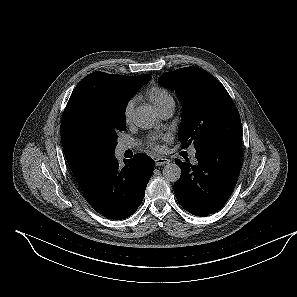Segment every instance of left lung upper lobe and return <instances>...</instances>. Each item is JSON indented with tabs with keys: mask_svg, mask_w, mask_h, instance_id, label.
<instances>
[{
	"mask_svg": "<svg viewBox=\"0 0 297 297\" xmlns=\"http://www.w3.org/2000/svg\"><path fill=\"white\" fill-rule=\"evenodd\" d=\"M159 84L176 91L182 104L178 139L203 152L241 137L239 112L225 87L207 71L186 67L163 73Z\"/></svg>",
	"mask_w": 297,
	"mask_h": 297,
	"instance_id": "left-lung-upper-lobe-1",
	"label": "left lung upper lobe"
}]
</instances>
